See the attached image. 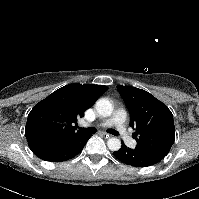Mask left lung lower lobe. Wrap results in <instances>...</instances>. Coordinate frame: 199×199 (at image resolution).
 <instances>
[{
    "label": "left lung lower lobe",
    "mask_w": 199,
    "mask_h": 199,
    "mask_svg": "<svg viewBox=\"0 0 199 199\" xmlns=\"http://www.w3.org/2000/svg\"><path fill=\"white\" fill-rule=\"evenodd\" d=\"M113 155L121 162L135 166L147 167L160 162L164 157L139 148L130 149L122 142L121 148L113 152Z\"/></svg>",
    "instance_id": "1"
}]
</instances>
